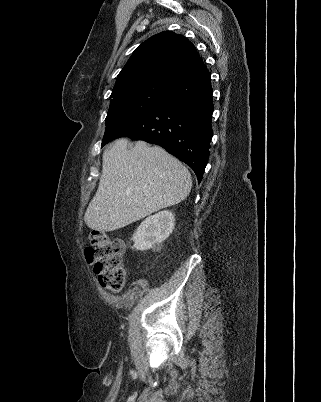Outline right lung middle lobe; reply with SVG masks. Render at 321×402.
I'll use <instances>...</instances> for the list:
<instances>
[{"mask_svg":"<svg viewBox=\"0 0 321 402\" xmlns=\"http://www.w3.org/2000/svg\"><path fill=\"white\" fill-rule=\"evenodd\" d=\"M170 88L161 83H148L112 93L102 146L163 101Z\"/></svg>","mask_w":321,"mask_h":402,"instance_id":"1","label":"right lung middle lobe"}]
</instances>
